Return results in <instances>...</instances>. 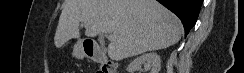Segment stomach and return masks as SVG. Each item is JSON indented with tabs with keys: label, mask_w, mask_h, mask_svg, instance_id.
Instances as JSON below:
<instances>
[{
	"label": "stomach",
	"mask_w": 244,
	"mask_h": 73,
	"mask_svg": "<svg viewBox=\"0 0 244 73\" xmlns=\"http://www.w3.org/2000/svg\"><path fill=\"white\" fill-rule=\"evenodd\" d=\"M73 55L79 59L87 56V52L82 41L77 42L73 47Z\"/></svg>",
	"instance_id": "1"
}]
</instances>
